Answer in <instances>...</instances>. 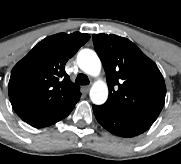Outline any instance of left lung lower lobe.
Returning <instances> with one entry per match:
<instances>
[{"label":"left lung lower lobe","mask_w":181,"mask_h":164,"mask_svg":"<svg viewBox=\"0 0 181 164\" xmlns=\"http://www.w3.org/2000/svg\"><path fill=\"white\" fill-rule=\"evenodd\" d=\"M97 121L109 132L121 137H134L150 128L154 121L144 118L113 103L93 105Z\"/></svg>","instance_id":"left-lung-lower-lobe-1"}]
</instances>
